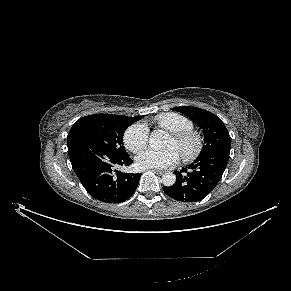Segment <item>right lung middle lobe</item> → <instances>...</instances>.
Instances as JSON below:
<instances>
[{
  "label": "right lung middle lobe",
  "mask_w": 291,
  "mask_h": 291,
  "mask_svg": "<svg viewBox=\"0 0 291 291\" xmlns=\"http://www.w3.org/2000/svg\"><path fill=\"white\" fill-rule=\"evenodd\" d=\"M123 115L95 114L76 121L67 136V145L77 140H86L114 152L126 155L123 135L127 127L140 120Z\"/></svg>",
  "instance_id": "1"
}]
</instances>
